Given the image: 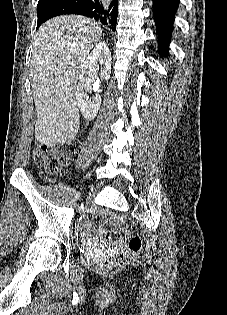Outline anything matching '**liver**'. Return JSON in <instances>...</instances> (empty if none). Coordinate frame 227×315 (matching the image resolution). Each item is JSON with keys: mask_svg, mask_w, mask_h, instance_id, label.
<instances>
[{"mask_svg": "<svg viewBox=\"0 0 227 315\" xmlns=\"http://www.w3.org/2000/svg\"><path fill=\"white\" fill-rule=\"evenodd\" d=\"M101 35L96 21L78 15L55 17L40 26L30 63L39 143L55 146L75 138L80 118L78 77Z\"/></svg>", "mask_w": 227, "mask_h": 315, "instance_id": "6515ba94", "label": "liver"}]
</instances>
